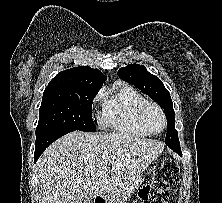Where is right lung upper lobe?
<instances>
[{"instance_id":"1","label":"right lung upper lobe","mask_w":222,"mask_h":203,"mask_svg":"<svg viewBox=\"0 0 222 203\" xmlns=\"http://www.w3.org/2000/svg\"><path fill=\"white\" fill-rule=\"evenodd\" d=\"M106 76L98 69L79 66L58 73L48 84L46 89H91L100 90Z\"/></svg>"}]
</instances>
